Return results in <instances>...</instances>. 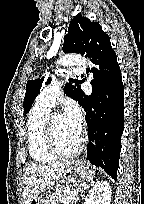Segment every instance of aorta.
<instances>
[{
  "label": "aorta",
  "instance_id": "obj_1",
  "mask_svg": "<svg viewBox=\"0 0 144 204\" xmlns=\"http://www.w3.org/2000/svg\"><path fill=\"white\" fill-rule=\"evenodd\" d=\"M57 62L62 67L88 64L85 58H82L80 55H76V54L63 55L58 59Z\"/></svg>",
  "mask_w": 144,
  "mask_h": 204
}]
</instances>
